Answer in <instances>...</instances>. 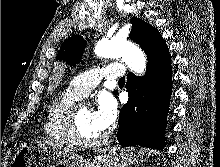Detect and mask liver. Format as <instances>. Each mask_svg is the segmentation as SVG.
Listing matches in <instances>:
<instances>
[{
  "instance_id": "liver-1",
  "label": "liver",
  "mask_w": 220,
  "mask_h": 167,
  "mask_svg": "<svg viewBox=\"0 0 220 167\" xmlns=\"http://www.w3.org/2000/svg\"><path fill=\"white\" fill-rule=\"evenodd\" d=\"M35 143H42V144H46V145H53V143L51 141H47V140H43V141H35ZM64 150H69L67 148H63Z\"/></svg>"
}]
</instances>
